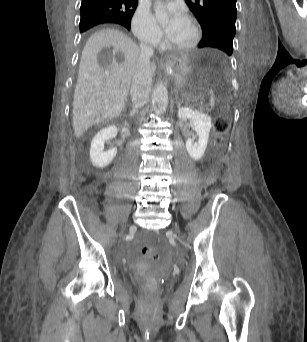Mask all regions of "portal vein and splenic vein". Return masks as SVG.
<instances>
[{
    "instance_id": "obj_1",
    "label": "portal vein and splenic vein",
    "mask_w": 307,
    "mask_h": 342,
    "mask_svg": "<svg viewBox=\"0 0 307 342\" xmlns=\"http://www.w3.org/2000/svg\"><path fill=\"white\" fill-rule=\"evenodd\" d=\"M196 105H197V106H201V105H202V102H201V101H197V102H196Z\"/></svg>"
}]
</instances>
